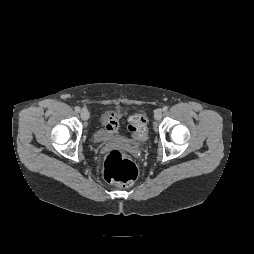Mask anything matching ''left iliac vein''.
<instances>
[{"instance_id": "1", "label": "left iliac vein", "mask_w": 254, "mask_h": 254, "mask_svg": "<svg viewBox=\"0 0 254 254\" xmlns=\"http://www.w3.org/2000/svg\"><path fill=\"white\" fill-rule=\"evenodd\" d=\"M161 117H162V110L161 109H157L156 111H155V113H154V118H155V120H160L161 119Z\"/></svg>"}]
</instances>
